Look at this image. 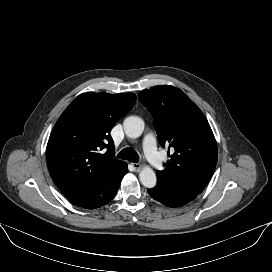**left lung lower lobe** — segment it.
<instances>
[{
    "instance_id": "obj_1",
    "label": "left lung lower lobe",
    "mask_w": 272,
    "mask_h": 272,
    "mask_svg": "<svg viewBox=\"0 0 272 272\" xmlns=\"http://www.w3.org/2000/svg\"><path fill=\"white\" fill-rule=\"evenodd\" d=\"M149 195L168 207H181L194 200L200 193L176 184L158 182L156 187L148 189Z\"/></svg>"
}]
</instances>
